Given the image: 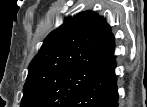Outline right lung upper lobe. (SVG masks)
<instances>
[{
	"instance_id": "cb5924a9",
	"label": "right lung upper lobe",
	"mask_w": 147,
	"mask_h": 107,
	"mask_svg": "<svg viewBox=\"0 0 147 107\" xmlns=\"http://www.w3.org/2000/svg\"><path fill=\"white\" fill-rule=\"evenodd\" d=\"M114 36L92 11L78 13L53 30L29 65L28 76L76 68L101 69L114 57Z\"/></svg>"
}]
</instances>
